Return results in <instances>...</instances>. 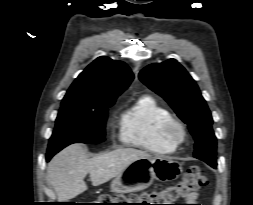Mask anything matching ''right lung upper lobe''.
<instances>
[{
	"label": "right lung upper lobe",
	"mask_w": 253,
	"mask_h": 205,
	"mask_svg": "<svg viewBox=\"0 0 253 205\" xmlns=\"http://www.w3.org/2000/svg\"><path fill=\"white\" fill-rule=\"evenodd\" d=\"M133 77L124 62L101 56L76 78L64 96L62 105H98L116 99Z\"/></svg>",
	"instance_id": "obj_1"
}]
</instances>
